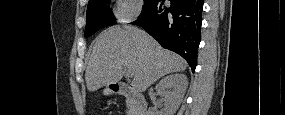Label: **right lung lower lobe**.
<instances>
[{
    "label": "right lung lower lobe",
    "instance_id": "1",
    "mask_svg": "<svg viewBox=\"0 0 285 115\" xmlns=\"http://www.w3.org/2000/svg\"><path fill=\"white\" fill-rule=\"evenodd\" d=\"M153 0L132 24L142 26L164 48L181 55L196 68L200 43L203 0Z\"/></svg>",
    "mask_w": 285,
    "mask_h": 115
}]
</instances>
